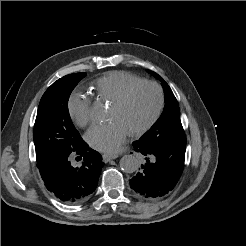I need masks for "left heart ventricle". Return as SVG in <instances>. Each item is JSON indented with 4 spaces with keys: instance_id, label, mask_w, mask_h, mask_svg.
Returning <instances> with one entry per match:
<instances>
[{
    "instance_id": "b2bd125f",
    "label": "left heart ventricle",
    "mask_w": 246,
    "mask_h": 246,
    "mask_svg": "<svg viewBox=\"0 0 246 246\" xmlns=\"http://www.w3.org/2000/svg\"><path fill=\"white\" fill-rule=\"evenodd\" d=\"M158 105V92L149 85L136 89L121 106L111 105L109 119L120 120L131 132L146 124Z\"/></svg>"
}]
</instances>
